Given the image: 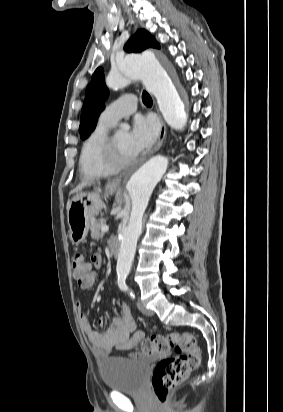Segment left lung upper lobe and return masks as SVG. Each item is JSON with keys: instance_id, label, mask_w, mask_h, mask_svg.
Masks as SVG:
<instances>
[{"instance_id": "1", "label": "left lung upper lobe", "mask_w": 283, "mask_h": 412, "mask_svg": "<svg viewBox=\"0 0 283 412\" xmlns=\"http://www.w3.org/2000/svg\"><path fill=\"white\" fill-rule=\"evenodd\" d=\"M150 47L160 48V44L148 31L139 29L125 44L124 49L128 52L137 53ZM108 95L103 70L99 67L95 70L91 82L86 88L79 127L82 139L87 138L95 129L94 122L99 113L105 108L104 101L108 98Z\"/></svg>"}]
</instances>
